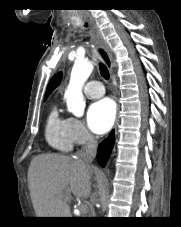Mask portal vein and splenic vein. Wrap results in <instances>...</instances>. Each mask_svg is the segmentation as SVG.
<instances>
[{
    "label": "portal vein and splenic vein",
    "instance_id": "18ae733b",
    "mask_svg": "<svg viewBox=\"0 0 181 227\" xmlns=\"http://www.w3.org/2000/svg\"><path fill=\"white\" fill-rule=\"evenodd\" d=\"M86 209H87V206L86 205H82L81 207H80V210H82V211H86Z\"/></svg>",
    "mask_w": 181,
    "mask_h": 227
}]
</instances>
